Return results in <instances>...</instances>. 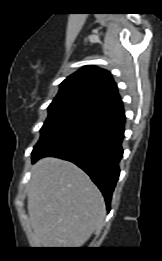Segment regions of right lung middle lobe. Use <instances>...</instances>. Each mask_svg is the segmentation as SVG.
<instances>
[{"label":"right lung middle lobe","mask_w":162,"mask_h":261,"mask_svg":"<svg viewBox=\"0 0 162 261\" xmlns=\"http://www.w3.org/2000/svg\"><path fill=\"white\" fill-rule=\"evenodd\" d=\"M103 107L102 103L81 93L58 94L48 107L49 115L33 151L63 126Z\"/></svg>","instance_id":"right-lung-middle-lobe-1"}]
</instances>
